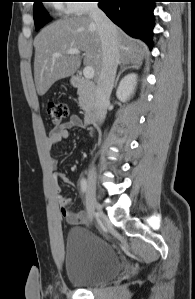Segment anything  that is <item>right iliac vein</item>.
<instances>
[{"instance_id": "obj_1", "label": "right iliac vein", "mask_w": 195, "mask_h": 299, "mask_svg": "<svg viewBox=\"0 0 195 299\" xmlns=\"http://www.w3.org/2000/svg\"><path fill=\"white\" fill-rule=\"evenodd\" d=\"M98 208L96 200V177L94 169H91L88 174V186L86 192V210L90 222H92L95 210Z\"/></svg>"}]
</instances>
